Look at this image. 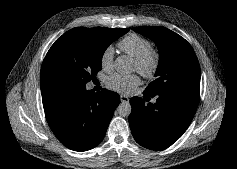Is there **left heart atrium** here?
<instances>
[{
	"instance_id": "left-heart-atrium-1",
	"label": "left heart atrium",
	"mask_w": 237,
	"mask_h": 169,
	"mask_svg": "<svg viewBox=\"0 0 237 169\" xmlns=\"http://www.w3.org/2000/svg\"><path fill=\"white\" fill-rule=\"evenodd\" d=\"M140 83L137 74H113L108 78V87L122 93H128Z\"/></svg>"
}]
</instances>
